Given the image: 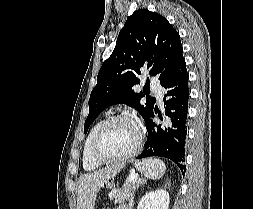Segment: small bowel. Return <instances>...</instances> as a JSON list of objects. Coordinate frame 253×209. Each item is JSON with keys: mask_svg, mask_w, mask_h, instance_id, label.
I'll return each mask as SVG.
<instances>
[{"mask_svg": "<svg viewBox=\"0 0 253 209\" xmlns=\"http://www.w3.org/2000/svg\"><path fill=\"white\" fill-rule=\"evenodd\" d=\"M114 209H126V207L125 206H119V207H116Z\"/></svg>", "mask_w": 253, "mask_h": 209, "instance_id": "small-bowel-1", "label": "small bowel"}]
</instances>
